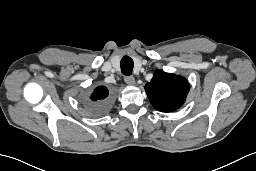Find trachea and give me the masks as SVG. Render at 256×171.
<instances>
[{
  "instance_id": "obj_1",
  "label": "trachea",
  "mask_w": 256,
  "mask_h": 171,
  "mask_svg": "<svg viewBox=\"0 0 256 171\" xmlns=\"http://www.w3.org/2000/svg\"><path fill=\"white\" fill-rule=\"evenodd\" d=\"M120 66L122 74L126 76H130L132 74L134 63L131 57L124 56L121 59Z\"/></svg>"
}]
</instances>
